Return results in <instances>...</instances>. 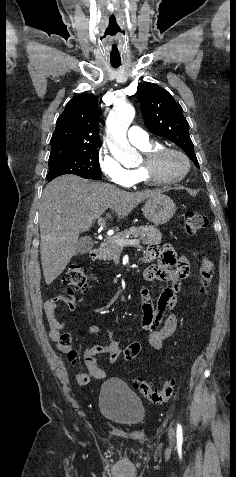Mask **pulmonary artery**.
<instances>
[{
  "mask_svg": "<svg viewBox=\"0 0 236 477\" xmlns=\"http://www.w3.org/2000/svg\"><path fill=\"white\" fill-rule=\"evenodd\" d=\"M127 135L129 141L136 146L144 145L149 142L148 133L137 126L130 127Z\"/></svg>",
  "mask_w": 236,
  "mask_h": 477,
  "instance_id": "e3ab8cb5",
  "label": "pulmonary artery"
}]
</instances>
